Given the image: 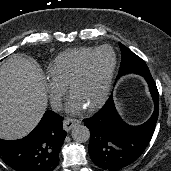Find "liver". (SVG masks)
<instances>
[{
	"label": "liver",
	"mask_w": 171,
	"mask_h": 171,
	"mask_svg": "<svg viewBox=\"0 0 171 171\" xmlns=\"http://www.w3.org/2000/svg\"><path fill=\"white\" fill-rule=\"evenodd\" d=\"M34 60L14 55L0 66V138L28 135L48 104L46 82Z\"/></svg>",
	"instance_id": "1"
}]
</instances>
